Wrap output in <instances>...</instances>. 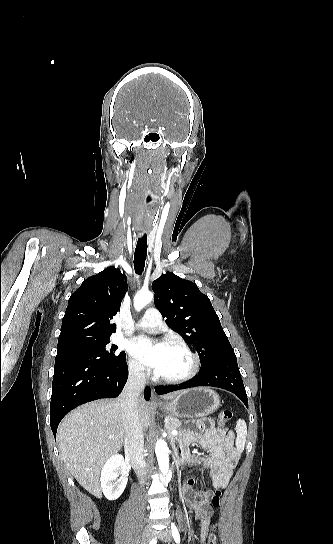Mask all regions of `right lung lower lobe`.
<instances>
[{
	"mask_svg": "<svg viewBox=\"0 0 333 544\" xmlns=\"http://www.w3.org/2000/svg\"><path fill=\"white\" fill-rule=\"evenodd\" d=\"M128 378L126 358L117 366H105L77 355H57L55 358L50 426L56 437L62 418L75 407L101 398L117 397ZM145 388V399H150Z\"/></svg>",
	"mask_w": 333,
	"mask_h": 544,
	"instance_id": "right-lung-lower-lobe-1",
	"label": "right lung lower lobe"
}]
</instances>
